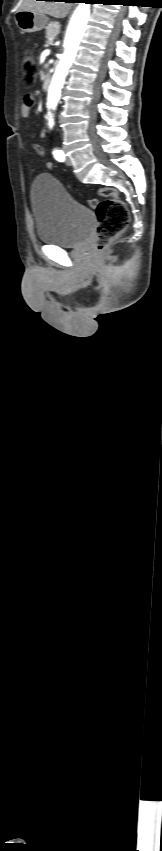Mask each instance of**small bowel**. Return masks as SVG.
<instances>
[{
    "label": "small bowel",
    "mask_w": 162,
    "mask_h": 851,
    "mask_svg": "<svg viewBox=\"0 0 162 851\" xmlns=\"http://www.w3.org/2000/svg\"><path fill=\"white\" fill-rule=\"evenodd\" d=\"M33 104H34L33 95L28 94L23 98V101H22V104H21V107H20V115H21L22 118H28L29 117L31 108L33 107ZM44 135H45V133L43 131L41 133V137H43ZM35 148L40 155L44 154V150L41 146L36 145ZM46 166L48 168H51L53 166V163L51 161H47Z\"/></svg>",
    "instance_id": "c3829d8e"
}]
</instances>
